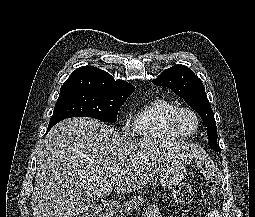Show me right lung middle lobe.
Listing matches in <instances>:
<instances>
[{"label":"right lung middle lobe","mask_w":255,"mask_h":217,"mask_svg":"<svg viewBox=\"0 0 255 217\" xmlns=\"http://www.w3.org/2000/svg\"><path fill=\"white\" fill-rule=\"evenodd\" d=\"M131 93H104L83 89L61 90L49 124L72 117H91L115 123L118 109Z\"/></svg>","instance_id":"1"}]
</instances>
